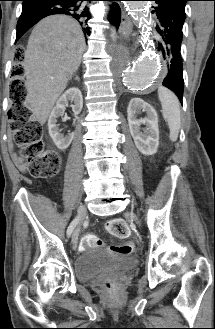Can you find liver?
<instances>
[{
	"label": "liver",
	"mask_w": 215,
	"mask_h": 329,
	"mask_svg": "<svg viewBox=\"0 0 215 329\" xmlns=\"http://www.w3.org/2000/svg\"><path fill=\"white\" fill-rule=\"evenodd\" d=\"M85 39L79 23L66 15L41 20L32 30L24 57L27 102L44 124L56 100L78 70Z\"/></svg>",
	"instance_id": "6515ba94"
}]
</instances>
